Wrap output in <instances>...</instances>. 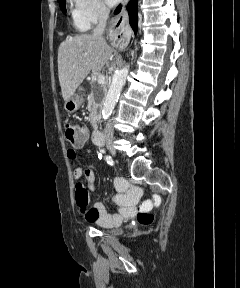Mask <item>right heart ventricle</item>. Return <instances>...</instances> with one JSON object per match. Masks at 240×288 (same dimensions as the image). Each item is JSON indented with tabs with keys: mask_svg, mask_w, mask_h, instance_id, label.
<instances>
[{
	"mask_svg": "<svg viewBox=\"0 0 240 288\" xmlns=\"http://www.w3.org/2000/svg\"><path fill=\"white\" fill-rule=\"evenodd\" d=\"M74 23L79 29H81V30H85L86 29V27H84L83 25H81L80 23L77 22V20L75 18V15H74Z\"/></svg>",
	"mask_w": 240,
	"mask_h": 288,
	"instance_id": "1",
	"label": "right heart ventricle"
}]
</instances>
